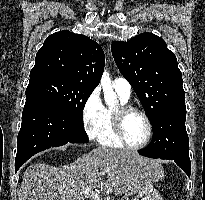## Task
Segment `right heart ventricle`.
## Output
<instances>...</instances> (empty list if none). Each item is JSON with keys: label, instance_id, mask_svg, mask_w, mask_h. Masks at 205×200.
Wrapping results in <instances>:
<instances>
[{"label": "right heart ventricle", "instance_id": "obj_1", "mask_svg": "<svg viewBox=\"0 0 205 200\" xmlns=\"http://www.w3.org/2000/svg\"><path fill=\"white\" fill-rule=\"evenodd\" d=\"M121 104H128V99L125 98L119 93H117ZM112 113L113 111L111 109L105 108V119H104V125L103 128L97 138L98 143L101 146L109 147V148H122L124 147L121 142L117 139L112 125Z\"/></svg>", "mask_w": 205, "mask_h": 200}]
</instances>
